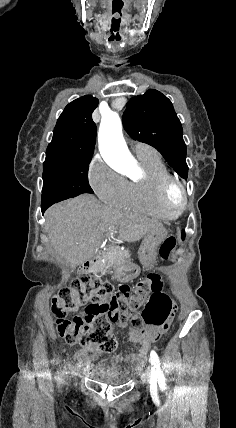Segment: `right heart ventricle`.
I'll return each mask as SVG.
<instances>
[{
  "label": "right heart ventricle",
  "instance_id": "right-heart-ventricle-1",
  "mask_svg": "<svg viewBox=\"0 0 236 428\" xmlns=\"http://www.w3.org/2000/svg\"><path fill=\"white\" fill-rule=\"evenodd\" d=\"M134 149V161L141 169L139 176L126 180L123 207L136 209L163 221L175 219L176 214L161 207L156 196V183L170 176L166 166L152 148L142 145Z\"/></svg>",
  "mask_w": 236,
  "mask_h": 428
}]
</instances>
